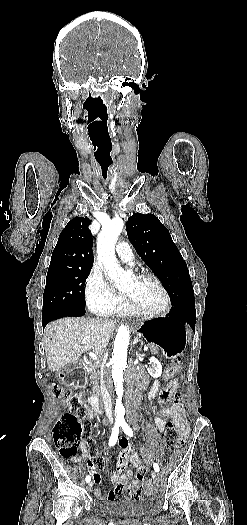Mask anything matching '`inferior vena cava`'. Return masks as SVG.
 Returning a JSON list of instances; mask_svg holds the SVG:
<instances>
[{"mask_svg": "<svg viewBox=\"0 0 247 525\" xmlns=\"http://www.w3.org/2000/svg\"><path fill=\"white\" fill-rule=\"evenodd\" d=\"M103 375H104V373H102V377H101V385H102V387L104 385V381H103L104 377H103ZM103 393H108V391H103ZM108 397H110V395H108Z\"/></svg>", "mask_w": 247, "mask_h": 525, "instance_id": "inferior-vena-cava-1", "label": "inferior vena cava"}]
</instances>
